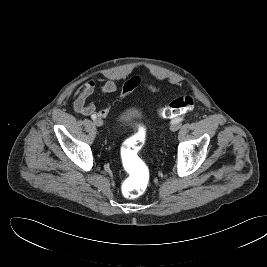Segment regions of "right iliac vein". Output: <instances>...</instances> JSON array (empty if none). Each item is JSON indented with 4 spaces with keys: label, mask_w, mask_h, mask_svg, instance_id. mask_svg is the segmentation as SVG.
<instances>
[{
    "label": "right iliac vein",
    "mask_w": 267,
    "mask_h": 267,
    "mask_svg": "<svg viewBox=\"0 0 267 267\" xmlns=\"http://www.w3.org/2000/svg\"><path fill=\"white\" fill-rule=\"evenodd\" d=\"M94 124L97 126V127H101L103 125V120L101 118H96L94 120Z\"/></svg>",
    "instance_id": "obj_1"
}]
</instances>
